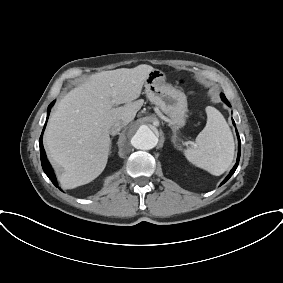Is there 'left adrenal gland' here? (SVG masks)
Masks as SVG:
<instances>
[{
	"mask_svg": "<svg viewBox=\"0 0 283 283\" xmlns=\"http://www.w3.org/2000/svg\"><path fill=\"white\" fill-rule=\"evenodd\" d=\"M176 138H177L176 132L173 131L172 142H173L174 144H175V142H176Z\"/></svg>",
	"mask_w": 283,
	"mask_h": 283,
	"instance_id": "obj_1",
	"label": "left adrenal gland"
}]
</instances>
